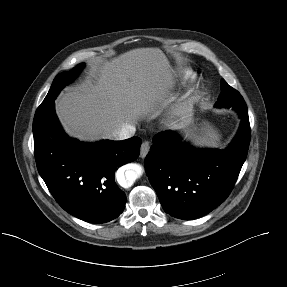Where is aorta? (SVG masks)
Returning <instances> with one entry per match:
<instances>
[{
	"instance_id": "aorta-1",
	"label": "aorta",
	"mask_w": 287,
	"mask_h": 287,
	"mask_svg": "<svg viewBox=\"0 0 287 287\" xmlns=\"http://www.w3.org/2000/svg\"><path fill=\"white\" fill-rule=\"evenodd\" d=\"M126 173H127L126 179H122V184L124 186H130L133 184L136 176L132 172H126Z\"/></svg>"
}]
</instances>
